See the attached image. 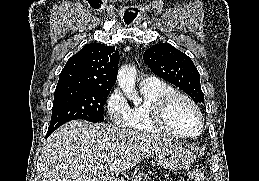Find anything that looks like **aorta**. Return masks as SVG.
I'll list each match as a JSON object with an SVG mask.
<instances>
[{
  "label": "aorta",
  "instance_id": "1",
  "mask_svg": "<svg viewBox=\"0 0 259 181\" xmlns=\"http://www.w3.org/2000/svg\"><path fill=\"white\" fill-rule=\"evenodd\" d=\"M136 69L132 66L124 65L118 70L117 81L123 93L133 101L134 104H139L141 99L135 91Z\"/></svg>",
  "mask_w": 259,
  "mask_h": 181
}]
</instances>
